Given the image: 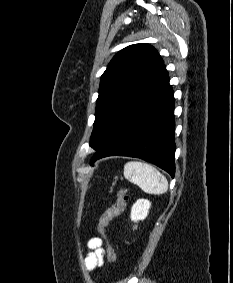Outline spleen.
<instances>
[{
    "label": "spleen",
    "instance_id": "1",
    "mask_svg": "<svg viewBox=\"0 0 233 283\" xmlns=\"http://www.w3.org/2000/svg\"><path fill=\"white\" fill-rule=\"evenodd\" d=\"M124 176L148 194L160 195L168 190L166 177L147 163L127 162L124 166Z\"/></svg>",
    "mask_w": 233,
    "mask_h": 283
}]
</instances>
